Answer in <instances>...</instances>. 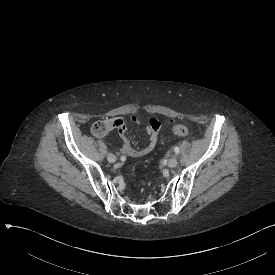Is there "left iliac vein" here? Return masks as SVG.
Returning a JSON list of instances; mask_svg holds the SVG:
<instances>
[{
  "label": "left iliac vein",
  "mask_w": 275,
  "mask_h": 275,
  "mask_svg": "<svg viewBox=\"0 0 275 275\" xmlns=\"http://www.w3.org/2000/svg\"><path fill=\"white\" fill-rule=\"evenodd\" d=\"M178 164L176 157H172L168 160V167L175 168Z\"/></svg>",
  "instance_id": "obj_1"
}]
</instances>
